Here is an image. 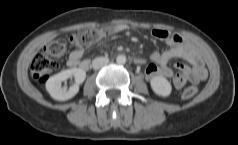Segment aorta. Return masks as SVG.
Here are the masks:
<instances>
[{
	"mask_svg": "<svg viewBox=\"0 0 238 145\" xmlns=\"http://www.w3.org/2000/svg\"><path fill=\"white\" fill-rule=\"evenodd\" d=\"M117 64L123 65L126 63V56L125 55H118L116 58Z\"/></svg>",
	"mask_w": 238,
	"mask_h": 145,
	"instance_id": "1",
	"label": "aorta"
}]
</instances>
